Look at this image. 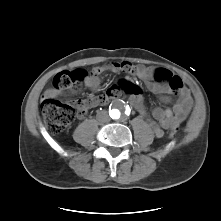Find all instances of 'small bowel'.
I'll return each mask as SVG.
<instances>
[{"label":"small bowel","mask_w":221,"mask_h":221,"mask_svg":"<svg viewBox=\"0 0 221 221\" xmlns=\"http://www.w3.org/2000/svg\"><path fill=\"white\" fill-rule=\"evenodd\" d=\"M105 71H133L145 82L148 90L157 95L159 100L163 103H168L170 101V96L173 94L169 87L158 84L154 76L149 75L144 67H133L129 62L110 61L104 65L94 67L83 79L85 86L94 92H98L101 86L100 75ZM129 83V79H124L120 83L109 88L104 95L92 96L86 99L74 101L72 104L76 108L77 116L79 118H84L90 109L99 105L107 104L111 100L118 98ZM45 94L59 96L63 94V92H56L50 88ZM177 94V101L173 108L156 107L152 110L151 116L153 120L149 118V113L146 109L144 99L141 94L131 95L130 102L137 110L139 115L147 120L153 134L157 137H161L165 129L179 126L186 119L191 109L192 98L188 89L183 88Z\"/></svg>","instance_id":"c3829d8e"}]
</instances>
